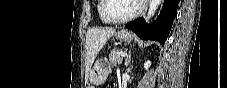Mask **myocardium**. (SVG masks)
<instances>
[{
    "mask_svg": "<svg viewBox=\"0 0 227 88\" xmlns=\"http://www.w3.org/2000/svg\"><path fill=\"white\" fill-rule=\"evenodd\" d=\"M107 2H108V0H102L100 13L106 22L112 23V24H125V23L135 19L141 13V11L143 9V4L141 2H138L135 11L132 14H130L129 16H127L125 18H121V19H112L107 16L106 11H105L106 7H107Z\"/></svg>",
    "mask_w": 227,
    "mask_h": 88,
    "instance_id": "myocardium-1",
    "label": "myocardium"
}]
</instances>
